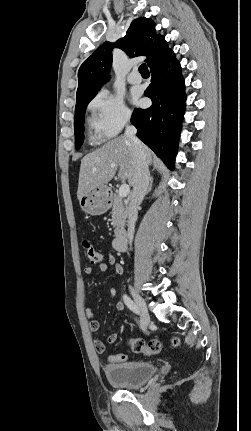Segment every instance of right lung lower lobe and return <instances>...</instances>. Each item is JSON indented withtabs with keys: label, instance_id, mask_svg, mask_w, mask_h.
Segmentation results:
<instances>
[{
	"label": "right lung lower lobe",
	"instance_id": "right-lung-lower-lobe-1",
	"mask_svg": "<svg viewBox=\"0 0 251 431\" xmlns=\"http://www.w3.org/2000/svg\"><path fill=\"white\" fill-rule=\"evenodd\" d=\"M151 73V84L144 94L151 98L152 106L135 109L131 123L138 138L173 170L186 100L181 66L174 52L164 63L151 67Z\"/></svg>",
	"mask_w": 251,
	"mask_h": 431
}]
</instances>
